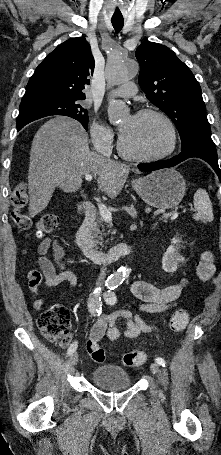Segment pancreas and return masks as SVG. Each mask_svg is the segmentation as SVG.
Returning <instances> with one entry per match:
<instances>
[{
	"label": "pancreas",
	"mask_w": 221,
	"mask_h": 455,
	"mask_svg": "<svg viewBox=\"0 0 221 455\" xmlns=\"http://www.w3.org/2000/svg\"><path fill=\"white\" fill-rule=\"evenodd\" d=\"M106 225L107 223L102 218V216L100 214H97L96 221L94 222L93 227L91 229L92 238L95 243H101L103 240V236L111 232L110 230H107V233H105Z\"/></svg>",
	"instance_id": "pancreas-1"
}]
</instances>
